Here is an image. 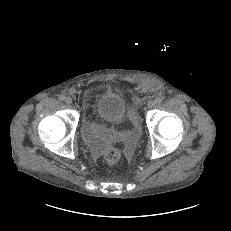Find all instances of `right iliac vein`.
I'll use <instances>...</instances> for the list:
<instances>
[{
    "mask_svg": "<svg viewBox=\"0 0 231 231\" xmlns=\"http://www.w3.org/2000/svg\"><path fill=\"white\" fill-rule=\"evenodd\" d=\"M65 102L67 103V104H72V98L71 97H69V96H67L66 98H65Z\"/></svg>",
    "mask_w": 231,
    "mask_h": 231,
    "instance_id": "63e3f726",
    "label": "right iliac vein"
}]
</instances>
